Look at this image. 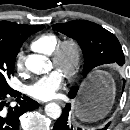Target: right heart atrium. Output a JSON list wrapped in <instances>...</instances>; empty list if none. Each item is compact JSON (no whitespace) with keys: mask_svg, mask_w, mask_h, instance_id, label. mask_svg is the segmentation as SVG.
<instances>
[{"mask_svg":"<svg viewBox=\"0 0 130 130\" xmlns=\"http://www.w3.org/2000/svg\"><path fill=\"white\" fill-rule=\"evenodd\" d=\"M24 60H25V56L23 51H19L15 58V66L18 71L24 70Z\"/></svg>","mask_w":130,"mask_h":130,"instance_id":"d8ad5b80","label":"right heart atrium"}]
</instances>
